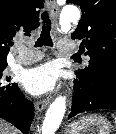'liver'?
<instances>
[{
    "instance_id": "liver-1",
    "label": "liver",
    "mask_w": 116,
    "mask_h": 134,
    "mask_svg": "<svg viewBox=\"0 0 116 134\" xmlns=\"http://www.w3.org/2000/svg\"><path fill=\"white\" fill-rule=\"evenodd\" d=\"M0 134H17V131L9 124L0 121Z\"/></svg>"
}]
</instances>
